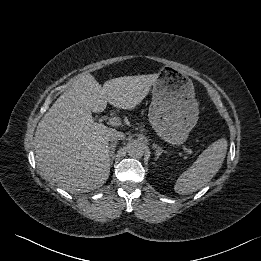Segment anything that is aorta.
I'll return each mask as SVG.
<instances>
[{
	"label": "aorta",
	"instance_id": "obj_1",
	"mask_svg": "<svg viewBox=\"0 0 261 261\" xmlns=\"http://www.w3.org/2000/svg\"><path fill=\"white\" fill-rule=\"evenodd\" d=\"M128 153L133 158H140L144 154V147L138 141H133L128 146Z\"/></svg>",
	"mask_w": 261,
	"mask_h": 261
}]
</instances>
